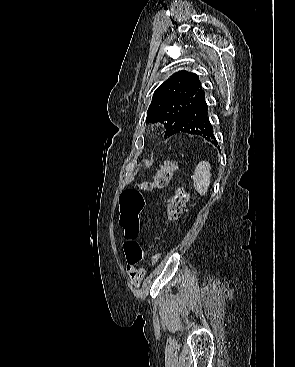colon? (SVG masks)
I'll return each mask as SVG.
<instances>
[{
	"instance_id": "obj_1",
	"label": "colon",
	"mask_w": 295,
	"mask_h": 367,
	"mask_svg": "<svg viewBox=\"0 0 295 367\" xmlns=\"http://www.w3.org/2000/svg\"><path fill=\"white\" fill-rule=\"evenodd\" d=\"M177 169L175 161H165L160 166L156 174L149 180L143 181L139 189L130 188L125 190L120 197V225L124 230V252L129 263H138L143 256L142 249L137 242L139 234V215L142 205H149V200H143L141 191H152L162 189L168 185L174 172ZM190 199L189 192L185 189L179 190L175 197L171 198L167 205V219L174 222L184 212ZM160 259L159 254L151 257V263L157 264Z\"/></svg>"
}]
</instances>
